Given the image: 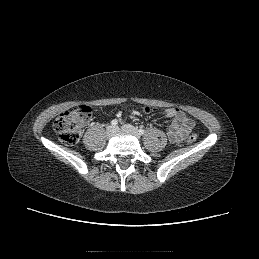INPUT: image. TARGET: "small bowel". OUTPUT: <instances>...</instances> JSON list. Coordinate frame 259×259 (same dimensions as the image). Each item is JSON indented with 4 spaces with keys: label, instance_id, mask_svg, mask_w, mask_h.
I'll list each match as a JSON object with an SVG mask.
<instances>
[{
    "label": "small bowel",
    "instance_id": "small-bowel-1",
    "mask_svg": "<svg viewBox=\"0 0 259 259\" xmlns=\"http://www.w3.org/2000/svg\"><path fill=\"white\" fill-rule=\"evenodd\" d=\"M142 110L160 113V110L155 108L142 107ZM164 114L172 120V124L167 130V136L171 142L177 143L183 141L195 128V122L178 108H167L164 110Z\"/></svg>",
    "mask_w": 259,
    "mask_h": 259
}]
</instances>
